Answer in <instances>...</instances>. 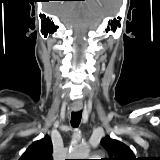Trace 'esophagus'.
<instances>
[{
	"label": "esophagus",
	"mask_w": 160,
	"mask_h": 160,
	"mask_svg": "<svg viewBox=\"0 0 160 160\" xmlns=\"http://www.w3.org/2000/svg\"><path fill=\"white\" fill-rule=\"evenodd\" d=\"M81 109H82V106H81V105H76V106L73 107V110H74L75 112H78V111H80Z\"/></svg>",
	"instance_id": "esophagus-1"
}]
</instances>
